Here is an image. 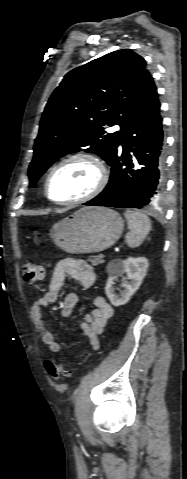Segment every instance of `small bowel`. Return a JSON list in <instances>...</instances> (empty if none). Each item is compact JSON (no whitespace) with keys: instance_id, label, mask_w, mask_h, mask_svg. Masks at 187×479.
<instances>
[{"instance_id":"c3829d8e","label":"small bowel","mask_w":187,"mask_h":479,"mask_svg":"<svg viewBox=\"0 0 187 479\" xmlns=\"http://www.w3.org/2000/svg\"><path fill=\"white\" fill-rule=\"evenodd\" d=\"M68 277L75 280L82 289L90 288L95 281L93 268L87 262L76 258L62 259L56 264L45 293L37 296L30 308L31 317L40 331L42 342L53 353L60 352L61 346L47 327L42 309L58 299ZM78 301L79 295L76 292L68 293L62 304V316L69 318ZM93 302L94 309L84 316L80 328L88 336L92 349L97 350L98 336L106 327L114 311L102 295H96Z\"/></svg>"}]
</instances>
